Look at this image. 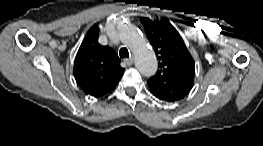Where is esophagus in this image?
Listing matches in <instances>:
<instances>
[{"mask_svg":"<svg viewBox=\"0 0 263 146\" xmlns=\"http://www.w3.org/2000/svg\"><path fill=\"white\" fill-rule=\"evenodd\" d=\"M133 62H134L133 57H130V58L124 59V63H126L128 66L132 65Z\"/></svg>","mask_w":263,"mask_h":146,"instance_id":"1","label":"esophagus"}]
</instances>
